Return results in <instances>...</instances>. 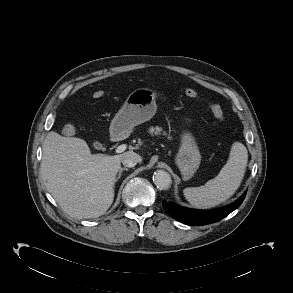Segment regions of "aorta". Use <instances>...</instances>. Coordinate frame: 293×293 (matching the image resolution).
<instances>
[{
    "label": "aorta",
    "mask_w": 293,
    "mask_h": 293,
    "mask_svg": "<svg viewBox=\"0 0 293 293\" xmlns=\"http://www.w3.org/2000/svg\"><path fill=\"white\" fill-rule=\"evenodd\" d=\"M153 182L157 188L167 190L171 186V176L165 170H157L153 175Z\"/></svg>",
    "instance_id": "762f6f07"
}]
</instances>
